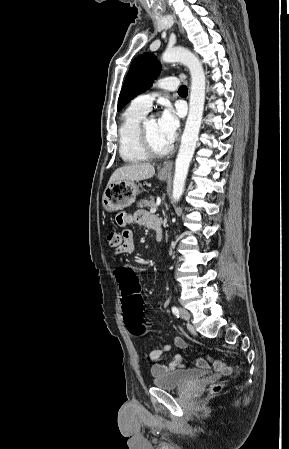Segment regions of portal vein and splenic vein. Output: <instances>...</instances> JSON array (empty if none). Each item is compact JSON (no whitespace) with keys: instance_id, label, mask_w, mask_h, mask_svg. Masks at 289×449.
<instances>
[{"instance_id":"portal-vein-and-splenic-vein-1","label":"portal vein and splenic vein","mask_w":289,"mask_h":449,"mask_svg":"<svg viewBox=\"0 0 289 449\" xmlns=\"http://www.w3.org/2000/svg\"><path fill=\"white\" fill-rule=\"evenodd\" d=\"M150 212H151V213H155V212H156V207H152V208L150 209Z\"/></svg>"}]
</instances>
